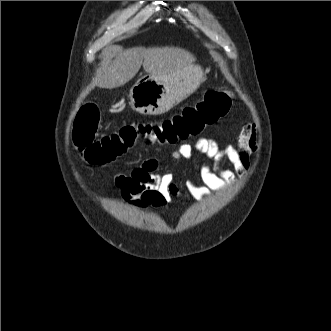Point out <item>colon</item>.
Masks as SVG:
<instances>
[{
  "mask_svg": "<svg viewBox=\"0 0 331 331\" xmlns=\"http://www.w3.org/2000/svg\"><path fill=\"white\" fill-rule=\"evenodd\" d=\"M232 95L224 90L208 91L195 106L160 122L133 123L97 138L100 120L98 107L84 104L75 119L73 142L81 157L89 164L104 165L116 160L139 139L159 144H175L199 135L206 127L227 115Z\"/></svg>",
  "mask_w": 331,
  "mask_h": 331,
  "instance_id": "1",
  "label": "colon"
}]
</instances>
